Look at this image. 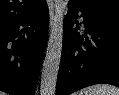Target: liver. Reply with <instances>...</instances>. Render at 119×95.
Here are the masks:
<instances>
[{"mask_svg": "<svg viewBox=\"0 0 119 95\" xmlns=\"http://www.w3.org/2000/svg\"><path fill=\"white\" fill-rule=\"evenodd\" d=\"M0 95H5V93L4 92H0Z\"/></svg>", "mask_w": 119, "mask_h": 95, "instance_id": "1", "label": "liver"}]
</instances>
